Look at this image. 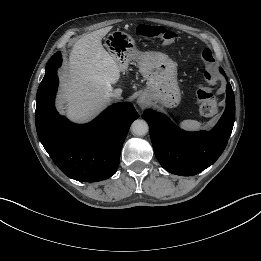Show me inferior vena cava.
Segmentation results:
<instances>
[{"mask_svg": "<svg viewBox=\"0 0 261 261\" xmlns=\"http://www.w3.org/2000/svg\"><path fill=\"white\" fill-rule=\"evenodd\" d=\"M121 93H119L118 91H113V92H110L109 93V97H113V98H116V99H120Z\"/></svg>", "mask_w": 261, "mask_h": 261, "instance_id": "obj_1", "label": "inferior vena cava"}]
</instances>
